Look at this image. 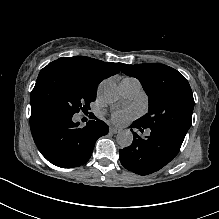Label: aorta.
<instances>
[{
  "instance_id": "aorta-1",
  "label": "aorta",
  "mask_w": 219,
  "mask_h": 219,
  "mask_svg": "<svg viewBox=\"0 0 219 219\" xmlns=\"http://www.w3.org/2000/svg\"><path fill=\"white\" fill-rule=\"evenodd\" d=\"M99 93L101 99L110 105L115 104L120 98L117 86L112 81H104L100 86ZM116 141L122 148L128 147L133 142V134L129 130L120 131Z\"/></svg>"
}]
</instances>
